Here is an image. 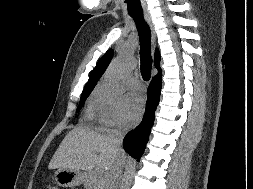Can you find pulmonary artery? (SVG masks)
<instances>
[{
	"label": "pulmonary artery",
	"mask_w": 253,
	"mask_h": 189,
	"mask_svg": "<svg viewBox=\"0 0 253 189\" xmlns=\"http://www.w3.org/2000/svg\"><path fill=\"white\" fill-rule=\"evenodd\" d=\"M130 85L134 89H138L140 87V81L137 77H133L130 79Z\"/></svg>",
	"instance_id": "obj_1"
}]
</instances>
